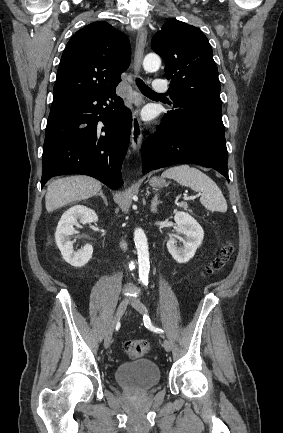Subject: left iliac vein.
I'll return each instance as SVG.
<instances>
[{"label": "left iliac vein", "instance_id": "1", "mask_svg": "<svg viewBox=\"0 0 283 433\" xmlns=\"http://www.w3.org/2000/svg\"><path fill=\"white\" fill-rule=\"evenodd\" d=\"M132 307H134L142 315L146 313V306L140 301L139 298L132 299ZM163 347L167 352L171 351V344L168 340L163 341Z\"/></svg>", "mask_w": 283, "mask_h": 433}]
</instances>
